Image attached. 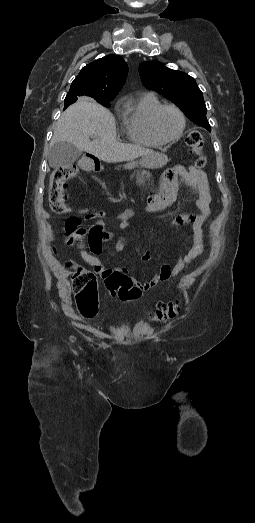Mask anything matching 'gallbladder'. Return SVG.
Instances as JSON below:
<instances>
[{
    "label": "gallbladder",
    "mask_w": 255,
    "mask_h": 523,
    "mask_svg": "<svg viewBox=\"0 0 255 523\" xmlns=\"http://www.w3.org/2000/svg\"><path fill=\"white\" fill-rule=\"evenodd\" d=\"M81 154L82 150L76 148L71 142H56L49 150V164L51 168L72 166L73 162H76Z\"/></svg>",
    "instance_id": "gallbladder-1"
}]
</instances>
